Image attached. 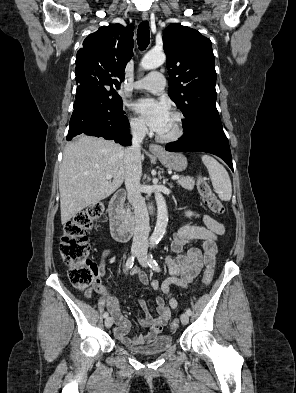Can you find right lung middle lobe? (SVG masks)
Masks as SVG:
<instances>
[{
  "label": "right lung middle lobe",
  "mask_w": 296,
  "mask_h": 393,
  "mask_svg": "<svg viewBox=\"0 0 296 393\" xmlns=\"http://www.w3.org/2000/svg\"><path fill=\"white\" fill-rule=\"evenodd\" d=\"M80 87L89 90L105 106L109 107L115 113L124 112L121 97L116 92V87L94 77H85L76 80Z\"/></svg>",
  "instance_id": "1"
}]
</instances>
